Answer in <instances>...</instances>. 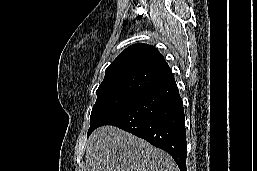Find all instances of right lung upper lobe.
Instances as JSON below:
<instances>
[{
  "instance_id": "obj_1",
  "label": "right lung upper lobe",
  "mask_w": 257,
  "mask_h": 171,
  "mask_svg": "<svg viewBox=\"0 0 257 171\" xmlns=\"http://www.w3.org/2000/svg\"><path fill=\"white\" fill-rule=\"evenodd\" d=\"M171 76L163 55L154 46L137 43L126 48L107 67L99 88L145 86L148 89Z\"/></svg>"
}]
</instances>
